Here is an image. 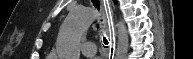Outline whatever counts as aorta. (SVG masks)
Instances as JSON below:
<instances>
[{"instance_id":"obj_1","label":"aorta","mask_w":193,"mask_h":59,"mask_svg":"<svg viewBox=\"0 0 193 59\" xmlns=\"http://www.w3.org/2000/svg\"><path fill=\"white\" fill-rule=\"evenodd\" d=\"M96 11L91 7L73 9L65 19L57 39V49L62 58L79 59V42L82 34L95 21ZM118 41L116 59H125L128 54L129 38L124 22L117 23Z\"/></svg>"}]
</instances>
